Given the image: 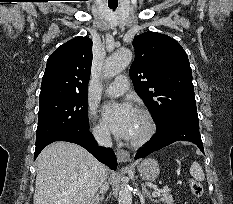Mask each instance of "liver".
<instances>
[{
  "mask_svg": "<svg viewBox=\"0 0 233 204\" xmlns=\"http://www.w3.org/2000/svg\"><path fill=\"white\" fill-rule=\"evenodd\" d=\"M34 204H90L108 169L81 146L48 145L38 156Z\"/></svg>",
  "mask_w": 233,
  "mask_h": 204,
  "instance_id": "1",
  "label": "liver"
}]
</instances>
